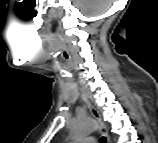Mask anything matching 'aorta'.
I'll return each mask as SVG.
<instances>
[{
    "instance_id": "762f6f07",
    "label": "aorta",
    "mask_w": 158,
    "mask_h": 143,
    "mask_svg": "<svg viewBox=\"0 0 158 143\" xmlns=\"http://www.w3.org/2000/svg\"><path fill=\"white\" fill-rule=\"evenodd\" d=\"M96 123L91 119H83L78 121L73 127L74 138H82L92 131L96 130Z\"/></svg>"
}]
</instances>
